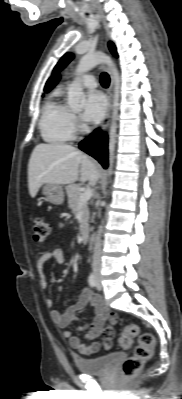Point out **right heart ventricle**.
Listing matches in <instances>:
<instances>
[{"mask_svg": "<svg viewBox=\"0 0 182 399\" xmlns=\"http://www.w3.org/2000/svg\"><path fill=\"white\" fill-rule=\"evenodd\" d=\"M71 111L56 92L43 106L39 123L43 139L50 143H65L73 138Z\"/></svg>", "mask_w": 182, "mask_h": 399, "instance_id": "obj_1", "label": "right heart ventricle"}]
</instances>
